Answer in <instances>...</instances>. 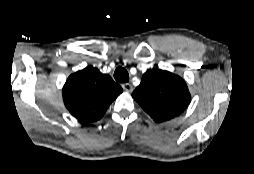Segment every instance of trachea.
Wrapping results in <instances>:
<instances>
[{
	"mask_svg": "<svg viewBox=\"0 0 254 174\" xmlns=\"http://www.w3.org/2000/svg\"><path fill=\"white\" fill-rule=\"evenodd\" d=\"M114 78L117 82L126 83L129 81V74L124 68L118 67L114 72Z\"/></svg>",
	"mask_w": 254,
	"mask_h": 174,
	"instance_id": "3493384b",
	"label": "trachea"
}]
</instances>
